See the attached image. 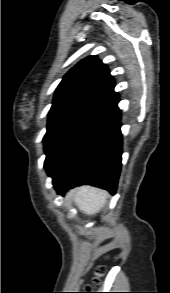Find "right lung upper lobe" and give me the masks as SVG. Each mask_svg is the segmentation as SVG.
I'll return each mask as SVG.
<instances>
[{
    "label": "right lung upper lobe",
    "mask_w": 170,
    "mask_h": 293,
    "mask_svg": "<svg viewBox=\"0 0 170 293\" xmlns=\"http://www.w3.org/2000/svg\"><path fill=\"white\" fill-rule=\"evenodd\" d=\"M118 101V94L114 92V80L108 68L96 56H89L63 77L56 89L48 116L81 106L112 109Z\"/></svg>",
    "instance_id": "cb5924a9"
}]
</instances>
